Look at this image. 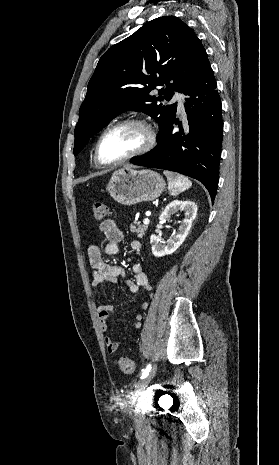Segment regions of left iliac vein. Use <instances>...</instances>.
I'll return each mask as SVG.
<instances>
[{
	"label": "left iliac vein",
	"mask_w": 279,
	"mask_h": 465,
	"mask_svg": "<svg viewBox=\"0 0 279 465\" xmlns=\"http://www.w3.org/2000/svg\"><path fill=\"white\" fill-rule=\"evenodd\" d=\"M156 370H157V367L156 366L153 367V369L149 372V374L136 384L135 391L131 397L133 401H135L138 398V396H140L143 393V391L146 389L147 385L149 384L151 379L154 377Z\"/></svg>",
	"instance_id": "left-iliac-vein-1"
}]
</instances>
